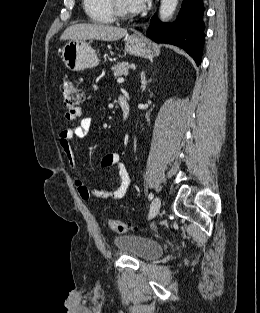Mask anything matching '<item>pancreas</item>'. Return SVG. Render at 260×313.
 <instances>
[{"label":"pancreas","instance_id":"cf45deb5","mask_svg":"<svg viewBox=\"0 0 260 313\" xmlns=\"http://www.w3.org/2000/svg\"><path fill=\"white\" fill-rule=\"evenodd\" d=\"M130 65L128 62L117 63L114 65L111 70L113 71L114 77L127 75Z\"/></svg>","mask_w":260,"mask_h":313}]
</instances>
